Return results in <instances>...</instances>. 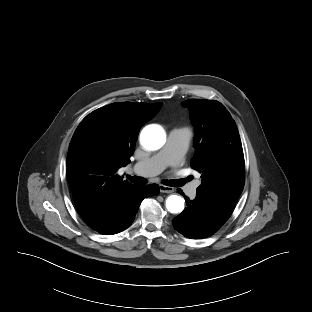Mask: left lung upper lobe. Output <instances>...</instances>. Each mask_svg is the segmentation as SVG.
Masks as SVG:
<instances>
[{
  "label": "left lung upper lobe",
  "mask_w": 312,
  "mask_h": 312,
  "mask_svg": "<svg viewBox=\"0 0 312 312\" xmlns=\"http://www.w3.org/2000/svg\"><path fill=\"white\" fill-rule=\"evenodd\" d=\"M196 127L191 166L200 172L197 195L233 212L245 182L239 132L228 110L218 101L190 99L183 103Z\"/></svg>",
  "instance_id": "obj_1"
}]
</instances>
